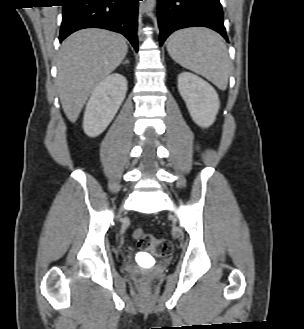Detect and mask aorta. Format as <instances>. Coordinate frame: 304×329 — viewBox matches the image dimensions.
Listing matches in <instances>:
<instances>
[{
  "label": "aorta",
  "instance_id": "762f6f07",
  "mask_svg": "<svg viewBox=\"0 0 304 329\" xmlns=\"http://www.w3.org/2000/svg\"><path fill=\"white\" fill-rule=\"evenodd\" d=\"M156 5V0H146V9L148 12L152 11Z\"/></svg>",
  "mask_w": 304,
  "mask_h": 329
}]
</instances>
